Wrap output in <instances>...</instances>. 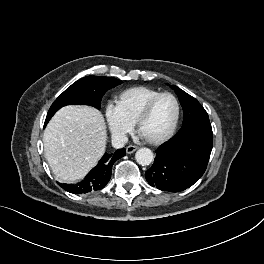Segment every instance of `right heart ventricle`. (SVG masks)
<instances>
[{
  "instance_id": "right-heart-ventricle-1",
  "label": "right heart ventricle",
  "mask_w": 264,
  "mask_h": 264,
  "mask_svg": "<svg viewBox=\"0 0 264 264\" xmlns=\"http://www.w3.org/2000/svg\"><path fill=\"white\" fill-rule=\"evenodd\" d=\"M158 93L160 91L146 86L131 87L116 95L115 106L127 120L135 123L147 101Z\"/></svg>"
}]
</instances>
